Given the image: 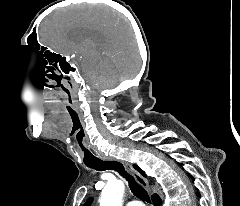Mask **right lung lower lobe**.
Returning a JSON list of instances; mask_svg holds the SVG:
<instances>
[{
  "label": "right lung lower lobe",
  "mask_w": 240,
  "mask_h": 206,
  "mask_svg": "<svg viewBox=\"0 0 240 206\" xmlns=\"http://www.w3.org/2000/svg\"><path fill=\"white\" fill-rule=\"evenodd\" d=\"M152 200L154 202V206H159L161 203V198L157 194L152 196Z\"/></svg>",
  "instance_id": "obj_1"
}]
</instances>
